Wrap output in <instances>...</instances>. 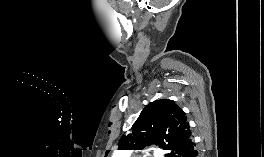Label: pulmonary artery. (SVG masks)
Here are the masks:
<instances>
[{"mask_svg": "<svg viewBox=\"0 0 264 157\" xmlns=\"http://www.w3.org/2000/svg\"><path fill=\"white\" fill-rule=\"evenodd\" d=\"M121 154H123L124 156L127 157V155L129 154V152L128 151H123V152H121Z\"/></svg>", "mask_w": 264, "mask_h": 157, "instance_id": "obj_1", "label": "pulmonary artery"}]
</instances>
